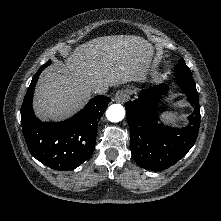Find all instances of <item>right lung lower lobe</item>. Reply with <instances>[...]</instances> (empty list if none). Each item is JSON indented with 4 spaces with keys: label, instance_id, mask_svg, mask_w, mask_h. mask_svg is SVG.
Instances as JSON below:
<instances>
[{
    "label": "right lung lower lobe",
    "instance_id": "98d812e1",
    "mask_svg": "<svg viewBox=\"0 0 221 221\" xmlns=\"http://www.w3.org/2000/svg\"><path fill=\"white\" fill-rule=\"evenodd\" d=\"M32 78L21 107V125L30 153L46 166L67 171L86 161L95 148L98 121L111 99L98 95L83 110L62 122H42L33 113L38 76Z\"/></svg>",
    "mask_w": 221,
    "mask_h": 221
}]
</instances>
